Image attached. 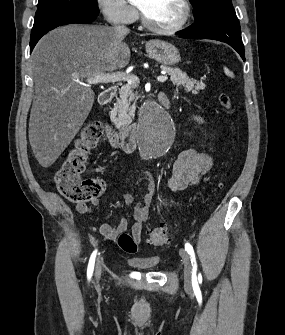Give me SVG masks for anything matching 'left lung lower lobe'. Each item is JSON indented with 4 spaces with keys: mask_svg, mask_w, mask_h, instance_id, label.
Segmentation results:
<instances>
[{
    "mask_svg": "<svg viewBox=\"0 0 285 335\" xmlns=\"http://www.w3.org/2000/svg\"><path fill=\"white\" fill-rule=\"evenodd\" d=\"M184 31L180 37L187 39H213L232 46L245 61L240 23L235 10H211Z\"/></svg>",
    "mask_w": 285,
    "mask_h": 335,
    "instance_id": "0a47b994",
    "label": "left lung lower lobe"
}]
</instances>
